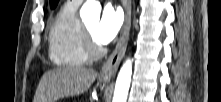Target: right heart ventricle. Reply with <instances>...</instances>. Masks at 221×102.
I'll use <instances>...</instances> for the list:
<instances>
[{
	"label": "right heart ventricle",
	"instance_id": "right-heart-ventricle-1",
	"mask_svg": "<svg viewBox=\"0 0 221 102\" xmlns=\"http://www.w3.org/2000/svg\"><path fill=\"white\" fill-rule=\"evenodd\" d=\"M79 4L66 1L49 28V56L61 67H79L88 60L83 43V24L77 15Z\"/></svg>",
	"mask_w": 221,
	"mask_h": 102
}]
</instances>
